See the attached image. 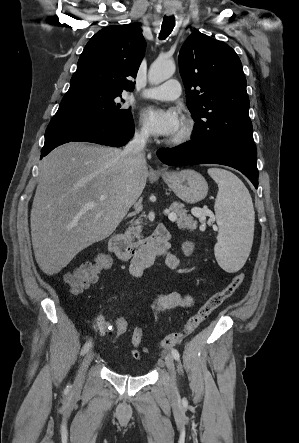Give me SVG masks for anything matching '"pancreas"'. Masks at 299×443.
Instances as JSON below:
<instances>
[{"mask_svg":"<svg viewBox=\"0 0 299 443\" xmlns=\"http://www.w3.org/2000/svg\"><path fill=\"white\" fill-rule=\"evenodd\" d=\"M184 205L179 203H173L170 207V210L176 214V224L180 229H188V230H194L197 227L196 221L193 219L191 215L187 214V210H185ZM204 214L200 213L197 215V217L200 220L204 219ZM141 219L135 220L134 222H131V226L127 229L125 232V235L128 238H141V232H142V225H141Z\"/></svg>","mask_w":299,"mask_h":443,"instance_id":"cf45deb5","label":"pancreas"}]
</instances>
